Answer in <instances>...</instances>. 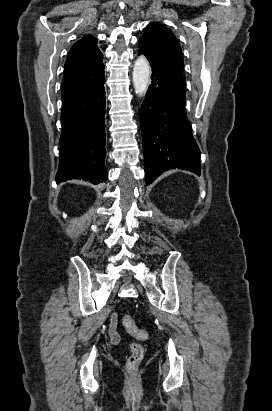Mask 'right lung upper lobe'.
Segmentation results:
<instances>
[{"label": "right lung upper lobe", "mask_w": 272, "mask_h": 411, "mask_svg": "<svg viewBox=\"0 0 272 411\" xmlns=\"http://www.w3.org/2000/svg\"><path fill=\"white\" fill-rule=\"evenodd\" d=\"M103 55L97 40L85 35L70 49L65 62V80L61 97H69L95 86L104 75Z\"/></svg>", "instance_id": "cb5924a9"}]
</instances>
